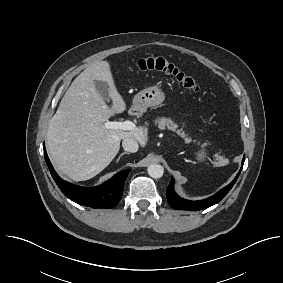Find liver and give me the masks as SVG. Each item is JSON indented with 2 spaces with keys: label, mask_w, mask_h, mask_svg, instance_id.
Wrapping results in <instances>:
<instances>
[{
  "label": "liver",
  "mask_w": 283,
  "mask_h": 283,
  "mask_svg": "<svg viewBox=\"0 0 283 283\" xmlns=\"http://www.w3.org/2000/svg\"><path fill=\"white\" fill-rule=\"evenodd\" d=\"M97 80L109 85L111 107L96 91ZM126 108L109 62L99 61L80 73L49 123L47 151L57 171L74 181L89 180L110 164L119 152L122 139L133 138L145 147L148 137L144 127L126 132L104 126L110 117Z\"/></svg>",
  "instance_id": "obj_1"
}]
</instances>
